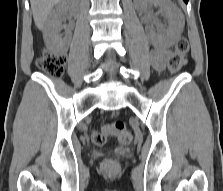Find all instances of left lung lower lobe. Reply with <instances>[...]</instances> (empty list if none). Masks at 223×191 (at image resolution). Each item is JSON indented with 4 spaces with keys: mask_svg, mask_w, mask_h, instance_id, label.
<instances>
[{
    "mask_svg": "<svg viewBox=\"0 0 223 191\" xmlns=\"http://www.w3.org/2000/svg\"><path fill=\"white\" fill-rule=\"evenodd\" d=\"M185 3H188V0H184Z\"/></svg>",
    "mask_w": 223,
    "mask_h": 191,
    "instance_id": "1",
    "label": "left lung lower lobe"
}]
</instances>
